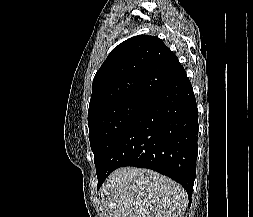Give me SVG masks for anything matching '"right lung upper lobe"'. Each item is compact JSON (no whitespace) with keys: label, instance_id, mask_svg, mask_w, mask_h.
I'll use <instances>...</instances> for the list:
<instances>
[{"label":"right lung upper lobe","instance_id":"1","mask_svg":"<svg viewBox=\"0 0 253 217\" xmlns=\"http://www.w3.org/2000/svg\"><path fill=\"white\" fill-rule=\"evenodd\" d=\"M183 71L176 55L158 37L129 38L111 51L96 73L88 117L129 97L150 100Z\"/></svg>","mask_w":253,"mask_h":217}]
</instances>
